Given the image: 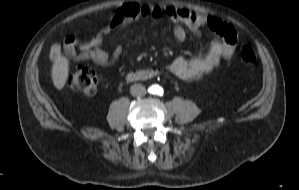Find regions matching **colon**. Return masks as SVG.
I'll use <instances>...</instances> for the list:
<instances>
[{"instance_id": "1", "label": "colon", "mask_w": 299, "mask_h": 190, "mask_svg": "<svg viewBox=\"0 0 299 190\" xmlns=\"http://www.w3.org/2000/svg\"><path fill=\"white\" fill-rule=\"evenodd\" d=\"M240 57L245 64H253L256 60L254 50L249 46H243ZM68 84L81 93L92 96L97 91L98 78L94 69L80 65L68 75Z\"/></svg>"}]
</instances>
